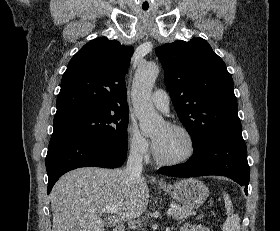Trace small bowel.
<instances>
[{
	"mask_svg": "<svg viewBox=\"0 0 280 231\" xmlns=\"http://www.w3.org/2000/svg\"><path fill=\"white\" fill-rule=\"evenodd\" d=\"M181 231H208V229L203 225H192V224H185L182 226Z\"/></svg>",
	"mask_w": 280,
	"mask_h": 231,
	"instance_id": "c3829d8e",
	"label": "small bowel"
}]
</instances>
